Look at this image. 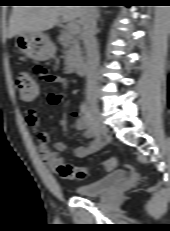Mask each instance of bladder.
Masks as SVG:
<instances>
[{
	"label": "bladder",
	"mask_w": 170,
	"mask_h": 231,
	"mask_svg": "<svg viewBox=\"0 0 170 231\" xmlns=\"http://www.w3.org/2000/svg\"><path fill=\"white\" fill-rule=\"evenodd\" d=\"M126 178V171L116 170L96 181L76 187L75 193L83 197L100 196L123 184Z\"/></svg>",
	"instance_id": "31cf9c89"
}]
</instances>
